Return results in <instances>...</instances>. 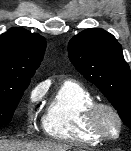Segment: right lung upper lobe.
I'll use <instances>...</instances> for the list:
<instances>
[{
	"mask_svg": "<svg viewBox=\"0 0 131 151\" xmlns=\"http://www.w3.org/2000/svg\"><path fill=\"white\" fill-rule=\"evenodd\" d=\"M46 40L37 33L12 28L0 36V82L29 83L43 59Z\"/></svg>",
	"mask_w": 131,
	"mask_h": 151,
	"instance_id": "right-lung-upper-lobe-1",
	"label": "right lung upper lobe"
}]
</instances>
